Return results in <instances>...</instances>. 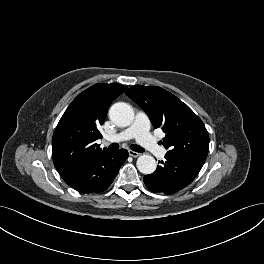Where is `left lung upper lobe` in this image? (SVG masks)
I'll list each match as a JSON object with an SVG mask.
<instances>
[{
    "label": "left lung upper lobe",
    "instance_id": "5c2ea615",
    "mask_svg": "<svg viewBox=\"0 0 264 264\" xmlns=\"http://www.w3.org/2000/svg\"><path fill=\"white\" fill-rule=\"evenodd\" d=\"M149 116L155 128L165 132L163 146L203 165L209 149V135L201 119L180 99L157 86L136 85L126 91Z\"/></svg>",
    "mask_w": 264,
    "mask_h": 264
}]
</instances>
